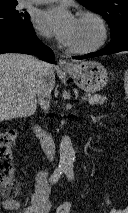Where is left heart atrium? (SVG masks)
Masks as SVG:
<instances>
[{"instance_id": "39dd6f15", "label": "left heart atrium", "mask_w": 128, "mask_h": 213, "mask_svg": "<svg viewBox=\"0 0 128 213\" xmlns=\"http://www.w3.org/2000/svg\"><path fill=\"white\" fill-rule=\"evenodd\" d=\"M78 19L66 5H56L43 9L34 19L35 27L46 35L56 37L60 42L69 45Z\"/></svg>"}]
</instances>
